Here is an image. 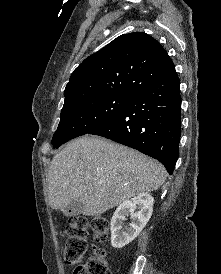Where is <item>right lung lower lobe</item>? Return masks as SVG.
<instances>
[{
  "mask_svg": "<svg viewBox=\"0 0 221 274\" xmlns=\"http://www.w3.org/2000/svg\"><path fill=\"white\" fill-rule=\"evenodd\" d=\"M180 81L175 68L134 95L109 121L89 134L134 148L173 173L181 137Z\"/></svg>",
  "mask_w": 221,
  "mask_h": 274,
  "instance_id": "right-lung-lower-lobe-1",
  "label": "right lung lower lobe"
}]
</instances>
